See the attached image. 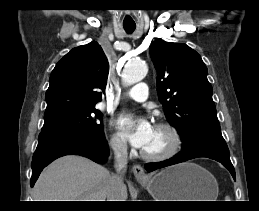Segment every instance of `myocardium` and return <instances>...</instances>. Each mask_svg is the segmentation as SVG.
<instances>
[{"label":"myocardium","instance_id":"myocardium-1","mask_svg":"<svg viewBox=\"0 0 259 211\" xmlns=\"http://www.w3.org/2000/svg\"><path fill=\"white\" fill-rule=\"evenodd\" d=\"M155 128L165 130L169 135V146L159 153H149L141 150L140 154L145 160L162 161L173 157L181 147V135L178 129L169 122H159Z\"/></svg>","mask_w":259,"mask_h":211}]
</instances>
